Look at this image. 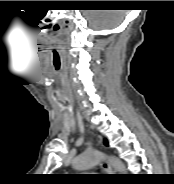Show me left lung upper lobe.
Returning <instances> with one entry per match:
<instances>
[{
    "mask_svg": "<svg viewBox=\"0 0 174 184\" xmlns=\"http://www.w3.org/2000/svg\"><path fill=\"white\" fill-rule=\"evenodd\" d=\"M104 142H105V145H107V144H108L106 140H105Z\"/></svg>",
    "mask_w": 174,
    "mask_h": 184,
    "instance_id": "1",
    "label": "left lung upper lobe"
}]
</instances>
